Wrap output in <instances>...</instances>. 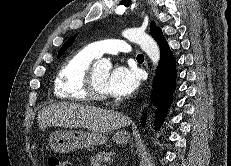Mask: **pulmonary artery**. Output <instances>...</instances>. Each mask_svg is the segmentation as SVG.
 I'll list each match as a JSON object with an SVG mask.
<instances>
[{
	"label": "pulmonary artery",
	"mask_w": 231,
	"mask_h": 166,
	"mask_svg": "<svg viewBox=\"0 0 231 166\" xmlns=\"http://www.w3.org/2000/svg\"><path fill=\"white\" fill-rule=\"evenodd\" d=\"M88 46L97 57H100L103 54L117 55L120 52H132L131 46L126 41L119 39L96 41Z\"/></svg>",
	"instance_id": "obj_1"
}]
</instances>
